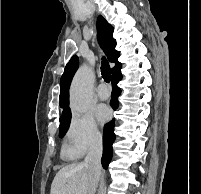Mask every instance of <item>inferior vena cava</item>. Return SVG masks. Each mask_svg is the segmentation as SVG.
<instances>
[{"mask_svg": "<svg viewBox=\"0 0 201 194\" xmlns=\"http://www.w3.org/2000/svg\"><path fill=\"white\" fill-rule=\"evenodd\" d=\"M103 152L102 138H95L89 148V152L85 157V165L90 172V187L88 194H95L98 181L101 175V157Z\"/></svg>", "mask_w": 201, "mask_h": 194, "instance_id": "602c4592", "label": "inferior vena cava"}]
</instances>
